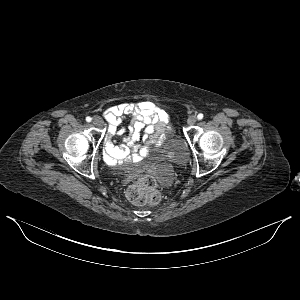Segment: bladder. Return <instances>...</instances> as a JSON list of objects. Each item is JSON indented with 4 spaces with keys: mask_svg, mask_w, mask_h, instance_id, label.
<instances>
[{
    "mask_svg": "<svg viewBox=\"0 0 300 300\" xmlns=\"http://www.w3.org/2000/svg\"><path fill=\"white\" fill-rule=\"evenodd\" d=\"M167 150H170V148L168 147ZM134 167H135V166H132V167L128 168V170H129V169H132V168H134Z\"/></svg>",
    "mask_w": 300,
    "mask_h": 300,
    "instance_id": "obj_1",
    "label": "bladder"
}]
</instances>
